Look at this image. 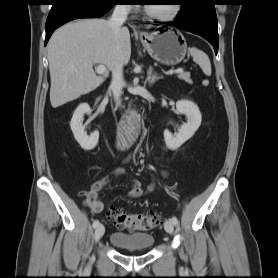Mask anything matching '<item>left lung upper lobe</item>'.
I'll list each match as a JSON object with an SVG mask.
<instances>
[{"label": "left lung upper lobe", "instance_id": "5c2ea615", "mask_svg": "<svg viewBox=\"0 0 278 278\" xmlns=\"http://www.w3.org/2000/svg\"><path fill=\"white\" fill-rule=\"evenodd\" d=\"M178 1H179V4L181 5L180 11H186L194 6V2L196 0H178ZM207 1H209L212 8H214L213 0H207Z\"/></svg>", "mask_w": 278, "mask_h": 278}]
</instances>
